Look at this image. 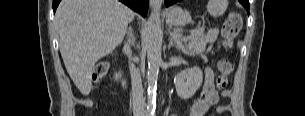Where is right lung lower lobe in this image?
<instances>
[{"mask_svg": "<svg viewBox=\"0 0 305 116\" xmlns=\"http://www.w3.org/2000/svg\"><path fill=\"white\" fill-rule=\"evenodd\" d=\"M61 0H53V10L56 8ZM125 5L129 6L134 11L140 13L142 16L147 15L149 0H120Z\"/></svg>", "mask_w": 305, "mask_h": 116, "instance_id": "98d812e1", "label": "right lung lower lobe"}]
</instances>
